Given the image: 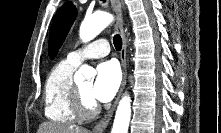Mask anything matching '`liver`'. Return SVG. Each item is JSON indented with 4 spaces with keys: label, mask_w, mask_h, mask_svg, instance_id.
I'll list each match as a JSON object with an SVG mask.
<instances>
[{
    "label": "liver",
    "mask_w": 221,
    "mask_h": 133,
    "mask_svg": "<svg viewBox=\"0 0 221 133\" xmlns=\"http://www.w3.org/2000/svg\"><path fill=\"white\" fill-rule=\"evenodd\" d=\"M38 133H90L89 130L60 123H43L38 129Z\"/></svg>",
    "instance_id": "obj_1"
}]
</instances>
